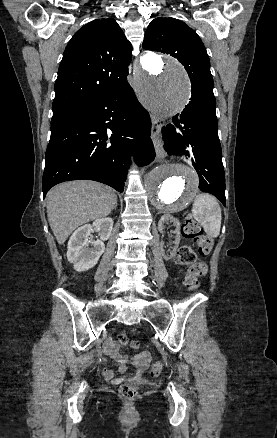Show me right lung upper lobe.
<instances>
[{"label": "right lung upper lobe", "instance_id": "obj_1", "mask_svg": "<svg viewBox=\"0 0 277 438\" xmlns=\"http://www.w3.org/2000/svg\"><path fill=\"white\" fill-rule=\"evenodd\" d=\"M131 51V43L113 18L96 19L84 25L64 51L52 110L72 111L126 81ZM74 63L86 69L70 68Z\"/></svg>", "mask_w": 277, "mask_h": 438}]
</instances>
